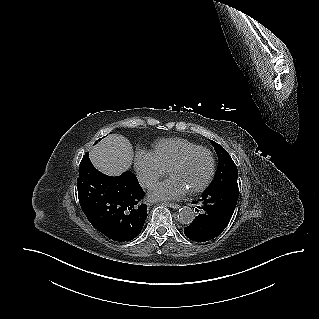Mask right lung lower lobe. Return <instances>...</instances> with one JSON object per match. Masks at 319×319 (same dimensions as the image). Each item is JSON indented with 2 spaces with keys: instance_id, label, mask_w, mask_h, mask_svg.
<instances>
[{
  "instance_id": "right-lung-lower-lobe-1",
  "label": "right lung lower lobe",
  "mask_w": 319,
  "mask_h": 319,
  "mask_svg": "<svg viewBox=\"0 0 319 319\" xmlns=\"http://www.w3.org/2000/svg\"><path fill=\"white\" fill-rule=\"evenodd\" d=\"M78 198L88 221L108 238L134 239L147 218L145 193L130 171L107 176L97 171L85 153L79 167Z\"/></svg>"
}]
</instances>
